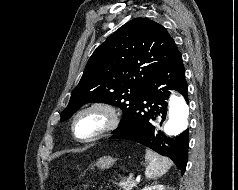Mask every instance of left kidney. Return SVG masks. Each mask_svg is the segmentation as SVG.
I'll return each mask as SVG.
<instances>
[{
  "label": "left kidney",
  "instance_id": "1",
  "mask_svg": "<svg viewBox=\"0 0 238 190\" xmlns=\"http://www.w3.org/2000/svg\"><path fill=\"white\" fill-rule=\"evenodd\" d=\"M142 190H165L163 185H153L150 187H145Z\"/></svg>",
  "mask_w": 238,
  "mask_h": 190
}]
</instances>
